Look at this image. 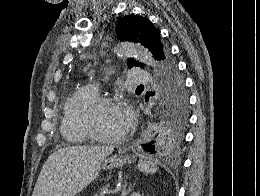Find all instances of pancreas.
<instances>
[{"label":"pancreas","instance_id":"obj_1","mask_svg":"<svg viewBox=\"0 0 260 196\" xmlns=\"http://www.w3.org/2000/svg\"><path fill=\"white\" fill-rule=\"evenodd\" d=\"M107 192H108V188H100V190H98V192H96L94 196H105Z\"/></svg>","mask_w":260,"mask_h":196}]
</instances>
